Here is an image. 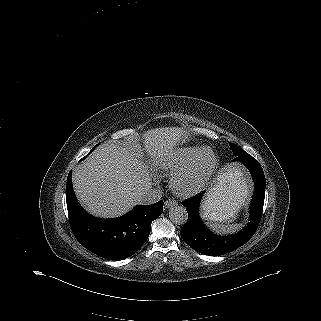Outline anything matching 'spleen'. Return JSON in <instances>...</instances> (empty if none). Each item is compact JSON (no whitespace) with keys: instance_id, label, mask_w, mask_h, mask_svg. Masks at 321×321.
<instances>
[{"instance_id":"obj_1","label":"spleen","mask_w":321,"mask_h":321,"mask_svg":"<svg viewBox=\"0 0 321 321\" xmlns=\"http://www.w3.org/2000/svg\"><path fill=\"white\" fill-rule=\"evenodd\" d=\"M232 209V204L227 202V200L221 201L218 204L214 202H208L204 205L203 217L213 221L214 223H212L211 226L217 231L223 233L236 231L241 227V224L223 225L216 223L218 221L222 222L228 220L232 216Z\"/></svg>"}]
</instances>
